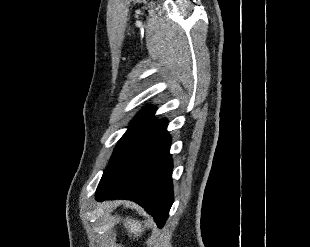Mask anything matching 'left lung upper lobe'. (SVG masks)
Segmentation results:
<instances>
[{"label":"left lung upper lobe","instance_id":"5c2ea615","mask_svg":"<svg viewBox=\"0 0 310 247\" xmlns=\"http://www.w3.org/2000/svg\"><path fill=\"white\" fill-rule=\"evenodd\" d=\"M155 107L147 106L143 109L139 114H137L133 121L130 124V127L126 131V133L122 136L119 141V144L116 146L113 155L112 161L116 157V155L133 139L135 138L140 132H142L145 128L150 126L152 123L155 122ZM111 161V162H112ZM110 162V163H111Z\"/></svg>","mask_w":310,"mask_h":247}]
</instances>
